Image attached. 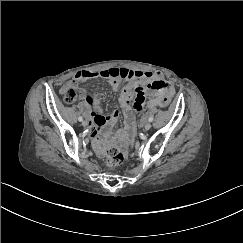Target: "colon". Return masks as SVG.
<instances>
[{"mask_svg": "<svg viewBox=\"0 0 243 243\" xmlns=\"http://www.w3.org/2000/svg\"><path fill=\"white\" fill-rule=\"evenodd\" d=\"M80 94V90L76 86H69L64 92V100L66 103L74 102ZM134 89H125L121 95V105L125 114V127L116 135V144L111 145L106 151L107 164L116 167L125 163L126 155L124 147L130 141L133 135V115L134 110Z\"/></svg>", "mask_w": 243, "mask_h": 243, "instance_id": "colon-1", "label": "colon"}]
</instances>
